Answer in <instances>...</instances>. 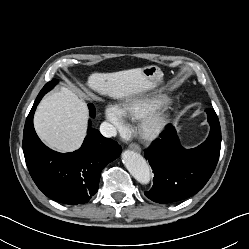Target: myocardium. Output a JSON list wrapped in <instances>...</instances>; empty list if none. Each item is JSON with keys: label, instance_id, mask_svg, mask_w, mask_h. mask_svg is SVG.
Masks as SVG:
<instances>
[{"label": "myocardium", "instance_id": "obj_1", "mask_svg": "<svg viewBox=\"0 0 249 249\" xmlns=\"http://www.w3.org/2000/svg\"><path fill=\"white\" fill-rule=\"evenodd\" d=\"M169 122L170 117L166 109L158 106L142 118L139 133L143 138L153 140L166 129Z\"/></svg>", "mask_w": 249, "mask_h": 249}]
</instances>
